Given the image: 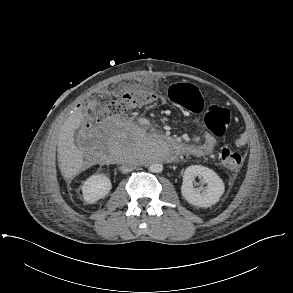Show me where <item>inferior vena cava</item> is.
Returning <instances> with one entry per match:
<instances>
[{
    "label": "inferior vena cava",
    "mask_w": 293,
    "mask_h": 293,
    "mask_svg": "<svg viewBox=\"0 0 293 293\" xmlns=\"http://www.w3.org/2000/svg\"><path fill=\"white\" fill-rule=\"evenodd\" d=\"M133 170V165L132 164H126V165H123L122 167H121V171L123 172V173H128V172H130V171H132Z\"/></svg>",
    "instance_id": "602c4592"
}]
</instances>
